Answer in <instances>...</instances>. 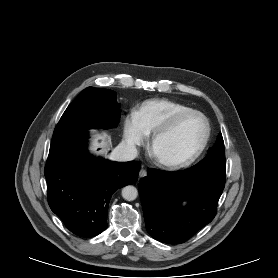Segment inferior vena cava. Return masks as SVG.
I'll list each match as a JSON object with an SVG mask.
<instances>
[{"label":"inferior vena cava","instance_id":"1","mask_svg":"<svg viewBox=\"0 0 278 278\" xmlns=\"http://www.w3.org/2000/svg\"><path fill=\"white\" fill-rule=\"evenodd\" d=\"M138 151L133 144L122 141L111 153V158L115 161L126 162L134 160Z\"/></svg>","mask_w":278,"mask_h":278}]
</instances>
